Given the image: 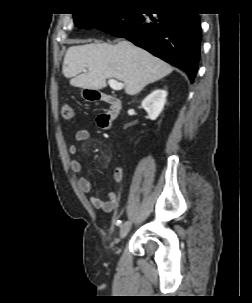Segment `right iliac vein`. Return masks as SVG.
I'll return each instance as SVG.
<instances>
[{
	"label": "right iliac vein",
	"mask_w": 252,
	"mask_h": 303,
	"mask_svg": "<svg viewBox=\"0 0 252 303\" xmlns=\"http://www.w3.org/2000/svg\"><path fill=\"white\" fill-rule=\"evenodd\" d=\"M132 226V222L130 220L125 221L121 226H120V239H124Z\"/></svg>",
	"instance_id": "1"
}]
</instances>
